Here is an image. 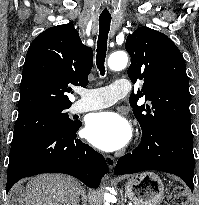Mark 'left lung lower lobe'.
<instances>
[{
	"label": "left lung lower lobe",
	"mask_w": 199,
	"mask_h": 205,
	"mask_svg": "<svg viewBox=\"0 0 199 205\" xmlns=\"http://www.w3.org/2000/svg\"><path fill=\"white\" fill-rule=\"evenodd\" d=\"M194 165L190 124L172 122L161 131L142 134L139 146L118 160L114 173L159 170L179 176L193 192Z\"/></svg>",
	"instance_id": "left-lung-lower-lobe-1"
}]
</instances>
